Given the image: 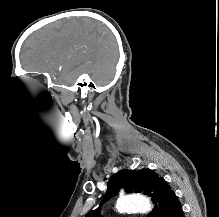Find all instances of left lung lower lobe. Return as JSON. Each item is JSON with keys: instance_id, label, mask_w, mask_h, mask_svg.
Here are the masks:
<instances>
[{"instance_id": "0a47b994", "label": "left lung lower lobe", "mask_w": 219, "mask_h": 217, "mask_svg": "<svg viewBox=\"0 0 219 217\" xmlns=\"http://www.w3.org/2000/svg\"><path fill=\"white\" fill-rule=\"evenodd\" d=\"M171 217H184V213L182 210V206L181 204H178L173 212V214L171 215Z\"/></svg>"}]
</instances>
